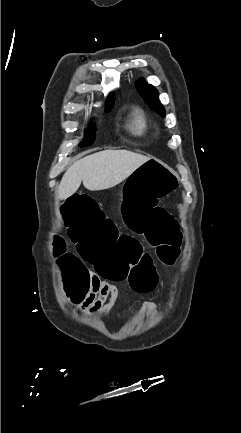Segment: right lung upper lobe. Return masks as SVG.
Listing matches in <instances>:
<instances>
[{
	"label": "right lung upper lobe",
	"mask_w": 241,
	"mask_h": 433,
	"mask_svg": "<svg viewBox=\"0 0 241 433\" xmlns=\"http://www.w3.org/2000/svg\"><path fill=\"white\" fill-rule=\"evenodd\" d=\"M113 100H114V95H113V93H111L106 107H109L110 105H112L113 104Z\"/></svg>",
	"instance_id": "right-lung-upper-lobe-1"
}]
</instances>
